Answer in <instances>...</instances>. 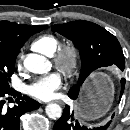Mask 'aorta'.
Wrapping results in <instances>:
<instances>
[{
    "instance_id": "1",
    "label": "aorta",
    "mask_w": 130,
    "mask_h": 130,
    "mask_svg": "<svg viewBox=\"0 0 130 130\" xmlns=\"http://www.w3.org/2000/svg\"><path fill=\"white\" fill-rule=\"evenodd\" d=\"M24 66L28 71L35 74H44L51 69L50 62L44 56L33 53L26 56ZM45 112L51 119L59 118L62 115V109L56 103L48 104L45 108Z\"/></svg>"
}]
</instances>
